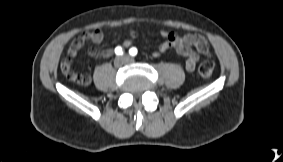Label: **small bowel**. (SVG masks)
<instances>
[{"label": "small bowel", "mask_w": 283, "mask_h": 162, "mask_svg": "<svg viewBox=\"0 0 283 162\" xmlns=\"http://www.w3.org/2000/svg\"><path fill=\"white\" fill-rule=\"evenodd\" d=\"M161 36L164 42L153 52L154 57H159L162 53L169 49H175L176 52L185 58V69L193 71L200 59V55H209V47L206 39L200 34L178 35L174 32L161 30ZM135 32H131L130 38L124 42L125 47H129L136 39ZM103 32L99 29L85 31L75 39L68 49V58L61 62V71L64 73H73L71 71V59L76 57L86 41L99 44L103 41ZM112 51L110 49L96 50L91 49L88 55L95 59H105L110 57Z\"/></svg>", "instance_id": "1"}]
</instances>
